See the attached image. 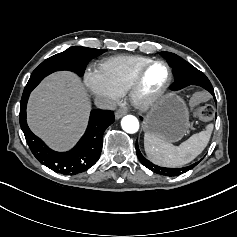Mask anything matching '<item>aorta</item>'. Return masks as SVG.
I'll return each mask as SVG.
<instances>
[{
	"instance_id": "aorta-1",
	"label": "aorta",
	"mask_w": 237,
	"mask_h": 237,
	"mask_svg": "<svg viewBox=\"0 0 237 237\" xmlns=\"http://www.w3.org/2000/svg\"><path fill=\"white\" fill-rule=\"evenodd\" d=\"M121 127L125 132L133 134L139 129V121L133 115H126L121 120Z\"/></svg>"
}]
</instances>
